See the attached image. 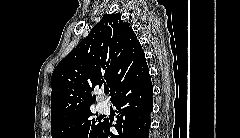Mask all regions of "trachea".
I'll use <instances>...</instances> for the list:
<instances>
[{
    "instance_id": "3493384b",
    "label": "trachea",
    "mask_w": 240,
    "mask_h": 138,
    "mask_svg": "<svg viewBox=\"0 0 240 138\" xmlns=\"http://www.w3.org/2000/svg\"><path fill=\"white\" fill-rule=\"evenodd\" d=\"M104 92H105V93H109V89H108V88H105V89H104Z\"/></svg>"
}]
</instances>
